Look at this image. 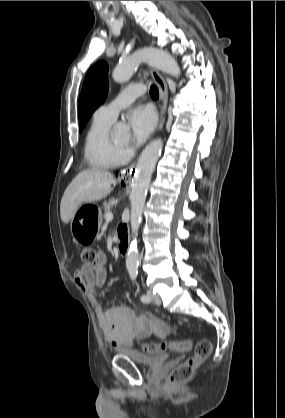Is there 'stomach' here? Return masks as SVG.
<instances>
[{"instance_id": "0dacf381", "label": "stomach", "mask_w": 285, "mask_h": 418, "mask_svg": "<svg viewBox=\"0 0 285 418\" xmlns=\"http://www.w3.org/2000/svg\"><path fill=\"white\" fill-rule=\"evenodd\" d=\"M87 205L91 204L81 205L77 209L70 223L72 236L80 244L91 243L98 234L102 224L101 210L92 205L94 207L92 211H86L85 207Z\"/></svg>"}]
</instances>
